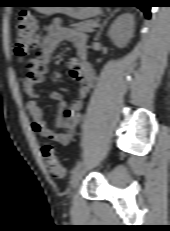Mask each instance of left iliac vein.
I'll use <instances>...</instances> for the list:
<instances>
[{
	"label": "left iliac vein",
	"instance_id": "left-iliac-vein-1",
	"mask_svg": "<svg viewBox=\"0 0 170 231\" xmlns=\"http://www.w3.org/2000/svg\"><path fill=\"white\" fill-rule=\"evenodd\" d=\"M85 174V169L83 167L79 168L71 177L70 179V187L73 191L75 188H77Z\"/></svg>",
	"mask_w": 170,
	"mask_h": 231
}]
</instances>
